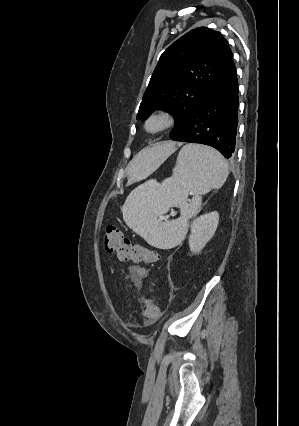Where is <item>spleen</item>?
<instances>
[{
	"label": "spleen",
	"instance_id": "spleen-1",
	"mask_svg": "<svg viewBox=\"0 0 299 426\" xmlns=\"http://www.w3.org/2000/svg\"><path fill=\"white\" fill-rule=\"evenodd\" d=\"M228 175V163L217 150L187 144L179 152L171 177L162 183L147 181L129 194L122 207L123 220L151 246L173 248L184 239L188 220L199 213L202 195L221 188ZM189 193L194 195L190 203ZM173 206L180 207L181 216L159 221Z\"/></svg>",
	"mask_w": 299,
	"mask_h": 426
}]
</instances>
